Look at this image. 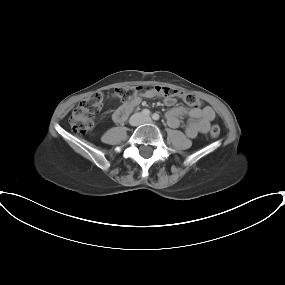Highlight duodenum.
<instances>
[{"mask_svg": "<svg viewBox=\"0 0 285 285\" xmlns=\"http://www.w3.org/2000/svg\"><path fill=\"white\" fill-rule=\"evenodd\" d=\"M132 105L131 104H126L124 105L122 108H120L117 113H116V117L115 120L116 121H123L125 119V117L127 116V114L132 110Z\"/></svg>", "mask_w": 285, "mask_h": 285, "instance_id": "obj_1", "label": "duodenum"}]
</instances>
